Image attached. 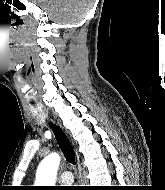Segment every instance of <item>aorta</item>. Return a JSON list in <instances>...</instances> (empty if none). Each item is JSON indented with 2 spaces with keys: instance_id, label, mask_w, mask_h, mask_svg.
Masks as SVG:
<instances>
[{
  "instance_id": "obj_1",
  "label": "aorta",
  "mask_w": 165,
  "mask_h": 190,
  "mask_svg": "<svg viewBox=\"0 0 165 190\" xmlns=\"http://www.w3.org/2000/svg\"><path fill=\"white\" fill-rule=\"evenodd\" d=\"M59 164L60 157L56 153H52L44 158L38 167L36 182L42 186H53Z\"/></svg>"
}]
</instances>
